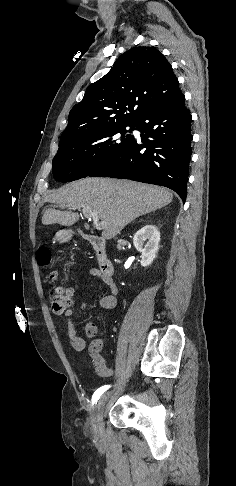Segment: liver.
Instances as JSON below:
<instances>
[{
  "label": "liver",
  "instance_id": "obj_1",
  "mask_svg": "<svg viewBox=\"0 0 236 486\" xmlns=\"http://www.w3.org/2000/svg\"><path fill=\"white\" fill-rule=\"evenodd\" d=\"M172 199L173 194L169 190L154 185L110 178H85L47 196V202L59 204L69 211L48 208L42 216V224L71 226L79 220L78 213L71 210L93 209L106 223L102 237L109 240L131 221L168 205Z\"/></svg>",
  "mask_w": 236,
  "mask_h": 486
}]
</instances>
